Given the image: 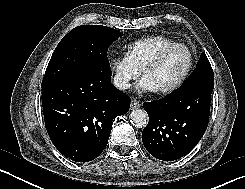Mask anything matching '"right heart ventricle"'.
Here are the masks:
<instances>
[{
    "instance_id": "1",
    "label": "right heart ventricle",
    "mask_w": 245,
    "mask_h": 189,
    "mask_svg": "<svg viewBox=\"0 0 245 189\" xmlns=\"http://www.w3.org/2000/svg\"><path fill=\"white\" fill-rule=\"evenodd\" d=\"M175 43L165 35H152L135 40L127 45L126 57L139 71L164 46Z\"/></svg>"
}]
</instances>
